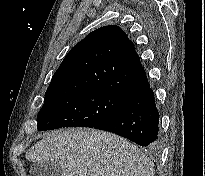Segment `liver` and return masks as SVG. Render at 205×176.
<instances>
[{"instance_id":"liver-1","label":"liver","mask_w":205,"mask_h":176,"mask_svg":"<svg viewBox=\"0 0 205 176\" xmlns=\"http://www.w3.org/2000/svg\"><path fill=\"white\" fill-rule=\"evenodd\" d=\"M58 165L63 176H154L152 161L128 140L105 131L70 128L48 133L25 155Z\"/></svg>"}]
</instances>
